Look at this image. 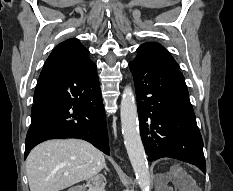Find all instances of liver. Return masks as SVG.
<instances>
[{
    "label": "liver",
    "mask_w": 233,
    "mask_h": 191,
    "mask_svg": "<svg viewBox=\"0 0 233 191\" xmlns=\"http://www.w3.org/2000/svg\"><path fill=\"white\" fill-rule=\"evenodd\" d=\"M104 164L103 153L84 140L43 142L32 149L26 160L30 191L63 190L93 178Z\"/></svg>",
    "instance_id": "6515ba94"
}]
</instances>
